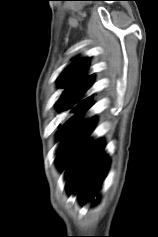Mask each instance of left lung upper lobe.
I'll return each instance as SVG.
<instances>
[{
	"instance_id": "1",
	"label": "left lung upper lobe",
	"mask_w": 158,
	"mask_h": 237,
	"mask_svg": "<svg viewBox=\"0 0 158 237\" xmlns=\"http://www.w3.org/2000/svg\"><path fill=\"white\" fill-rule=\"evenodd\" d=\"M89 65V58H81L70 64L60 75L58 82L64 87L60 98L56 102L58 112L77 110L86 106L90 101V97L85 98V94L92 84V75H85Z\"/></svg>"
}]
</instances>
